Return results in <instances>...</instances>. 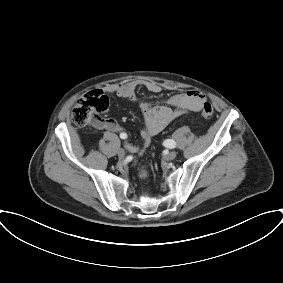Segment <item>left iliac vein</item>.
I'll use <instances>...</instances> for the list:
<instances>
[{"label":"left iliac vein","instance_id":"4c4485c4","mask_svg":"<svg viewBox=\"0 0 283 283\" xmlns=\"http://www.w3.org/2000/svg\"><path fill=\"white\" fill-rule=\"evenodd\" d=\"M176 156H177V153L175 151H171L168 154H166L165 160H168V161L173 160L176 158Z\"/></svg>","mask_w":283,"mask_h":283}]
</instances>
